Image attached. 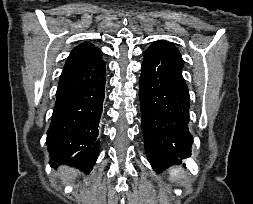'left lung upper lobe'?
<instances>
[{"mask_svg": "<svg viewBox=\"0 0 253 204\" xmlns=\"http://www.w3.org/2000/svg\"><path fill=\"white\" fill-rule=\"evenodd\" d=\"M152 44L163 45L179 53V51L175 48V46L169 43L168 41H155Z\"/></svg>", "mask_w": 253, "mask_h": 204, "instance_id": "5c2ea615", "label": "left lung upper lobe"}]
</instances>
